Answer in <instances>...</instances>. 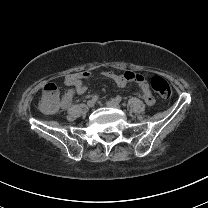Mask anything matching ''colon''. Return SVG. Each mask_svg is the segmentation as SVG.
<instances>
[{
  "instance_id": "1",
  "label": "colon",
  "mask_w": 208,
  "mask_h": 208,
  "mask_svg": "<svg viewBox=\"0 0 208 208\" xmlns=\"http://www.w3.org/2000/svg\"><path fill=\"white\" fill-rule=\"evenodd\" d=\"M150 84L153 90L162 98L161 106H166L167 100L172 96V90L168 81L161 76H155L151 79ZM42 94L44 98L38 102V107L46 113H53L59 105V87L55 83H48L42 89Z\"/></svg>"
}]
</instances>
